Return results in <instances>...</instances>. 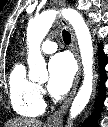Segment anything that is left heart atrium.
<instances>
[{
  "instance_id": "39dd6f15",
  "label": "left heart atrium",
  "mask_w": 108,
  "mask_h": 127,
  "mask_svg": "<svg viewBox=\"0 0 108 127\" xmlns=\"http://www.w3.org/2000/svg\"><path fill=\"white\" fill-rule=\"evenodd\" d=\"M75 75V65L66 53H59L49 62L48 89L53 95L66 93Z\"/></svg>"
}]
</instances>
